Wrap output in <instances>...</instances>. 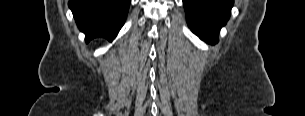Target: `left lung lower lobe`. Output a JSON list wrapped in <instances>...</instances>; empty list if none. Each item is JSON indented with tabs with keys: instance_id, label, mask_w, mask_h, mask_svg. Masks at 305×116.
<instances>
[{
	"instance_id": "0a47b994",
	"label": "left lung lower lobe",
	"mask_w": 305,
	"mask_h": 116,
	"mask_svg": "<svg viewBox=\"0 0 305 116\" xmlns=\"http://www.w3.org/2000/svg\"><path fill=\"white\" fill-rule=\"evenodd\" d=\"M183 4L192 32L213 43L229 19L233 0H183Z\"/></svg>"
}]
</instances>
